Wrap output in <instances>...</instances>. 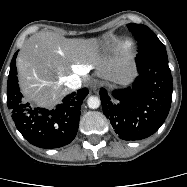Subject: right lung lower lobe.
Returning a JSON list of instances; mask_svg holds the SVG:
<instances>
[{"instance_id": "1", "label": "right lung lower lobe", "mask_w": 187, "mask_h": 187, "mask_svg": "<svg viewBox=\"0 0 187 187\" xmlns=\"http://www.w3.org/2000/svg\"><path fill=\"white\" fill-rule=\"evenodd\" d=\"M17 53L11 61L7 82L8 108L17 129L28 142L40 148H59L69 144L77 134L80 109L88 89L67 95L52 110L33 107L23 100L18 86Z\"/></svg>"}]
</instances>
